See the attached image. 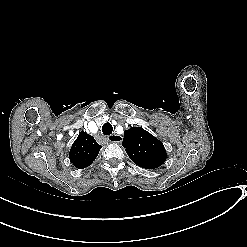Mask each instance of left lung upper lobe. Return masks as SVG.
<instances>
[{"label": "left lung upper lobe", "instance_id": "5c2ea615", "mask_svg": "<svg viewBox=\"0 0 247 247\" xmlns=\"http://www.w3.org/2000/svg\"><path fill=\"white\" fill-rule=\"evenodd\" d=\"M122 145L129 158L142 168L155 169L166 160L163 143L142 127L125 131Z\"/></svg>", "mask_w": 247, "mask_h": 247}]
</instances>
